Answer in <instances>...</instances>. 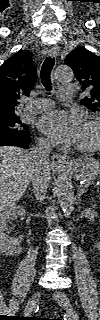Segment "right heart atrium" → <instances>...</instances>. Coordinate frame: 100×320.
I'll list each match as a JSON object with an SVG mask.
<instances>
[{
    "label": "right heart atrium",
    "instance_id": "right-heart-atrium-1",
    "mask_svg": "<svg viewBox=\"0 0 100 320\" xmlns=\"http://www.w3.org/2000/svg\"><path fill=\"white\" fill-rule=\"evenodd\" d=\"M41 141H42L43 143H47V141H46L45 139H41Z\"/></svg>",
    "mask_w": 100,
    "mask_h": 320
}]
</instances>
